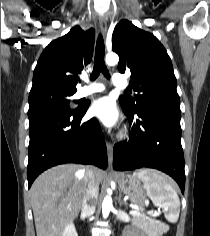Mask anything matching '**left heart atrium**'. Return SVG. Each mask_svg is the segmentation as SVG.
<instances>
[{
	"mask_svg": "<svg viewBox=\"0 0 210 236\" xmlns=\"http://www.w3.org/2000/svg\"><path fill=\"white\" fill-rule=\"evenodd\" d=\"M90 116L107 127L116 126L120 120L116 104L110 97L96 100L91 106Z\"/></svg>",
	"mask_w": 210,
	"mask_h": 236,
	"instance_id": "left-heart-atrium-1",
	"label": "left heart atrium"
}]
</instances>
